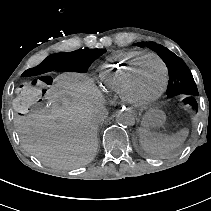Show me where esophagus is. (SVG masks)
Returning <instances> with one entry per match:
<instances>
[{"label": "esophagus", "instance_id": "1", "mask_svg": "<svg viewBox=\"0 0 211 211\" xmlns=\"http://www.w3.org/2000/svg\"><path fill=\"white\" fill-rule=\"evenodd\" d=\"M118 110L130 114L133 112V107L125 103L118 105Z\"/></svg>", "mask_w": 211, "mask_h": 211}]
</instances>
